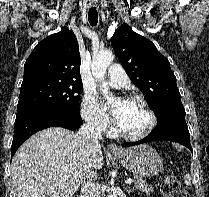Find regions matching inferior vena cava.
<instances>
[{
	"label": "inferior vena cava",
	"instance_id": "1",
	"mask_svg": "<svg viewBox=\"0 0 209 197\" xmlns=\"http://www.w3.org/2000/svg\"><path fill=\"white\" fill-rule=\"evenodd\" d=\"M77 135L84 141L90 144H99L102 139V126L95 120H88L84 123ZM97 179V173L92 169L86 170L84 180L82 182V195L81 197H101L100 186Z\"/></svg>",
	"mask_w": 209,
	"mask_h": 197
}]
</instances>
